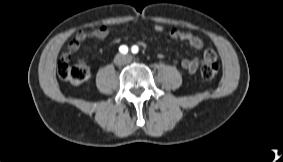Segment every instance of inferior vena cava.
Masks as SVG:
<instances>
[{
  "label": "inferior vena cava",
  "instance_id": "obj_1",
  "mask_svg": "<svg viewBox=\"0 0 283 162\" xmlns=\"http://www.w3.org/2000/svg\"><path fill=\"white\" fill-rule=\"evenodd\" d=\"M126 62H127L126 57H125V56H122V55H120V56H119V59L115 61V63H116L117 65H122V64H124V63H126Z\"/></svg>",
  "mask_w": 283,
  "mask_h": 162
}]
</instances>
